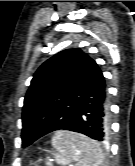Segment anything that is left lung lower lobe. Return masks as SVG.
I'll return each mask as SVG.
<instances>
[{
	"mask_svg": "<svg viewBox=\"0 0 135 166\" xmlns=\"http://www.w3.org/2000/svg\"><path fill=\"white\" fill-rule=\"evenodd\" d=\"M109 102L105 78L94 60L83 68L72 88L66 106L46 123H23L22 146L56 131L70 130L104 141L108 137Z\"/></svg>",
	"mask_w": 135,
	"mask_h": 166,
	"instance_id": "left-lung-lower-lobe-1",
	"label": "left lung lower lobe"
}]
</instances>
